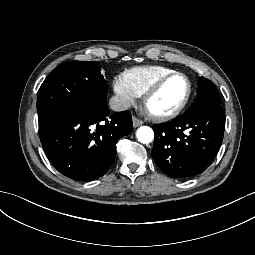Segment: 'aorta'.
<instances>
[{
	"instance_id": "762f6f07",
	"label": "aorta",
	"mask_w": 255,
	"mask_h": 255,
	"mask_svg": "<svg viewBox=\"0 0 255 255\" xmlns=\"http://www.w3.org/2000/svg\"><path fill=\"white\" fill-rule=\"evenodd\" d=\"M136 136L139 142L148 144L153 140L154 132L150 127L142 126L137 130Z\"/></svg>"
}]
</instances>
